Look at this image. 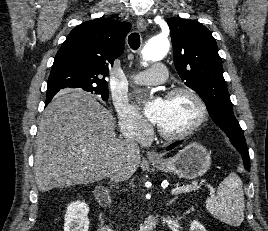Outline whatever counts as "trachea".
I'll list each match as a JSON object with an SVG mask.
<instances>
[{
  "label": "trachea",
  "instance_id": "3493384b",
  "mask_svg": "<svg viewBox=\"0 0 268 231\" xmlns=\"http://www.w3.org/2000/svg\"><path fill=\"white\" fill-rule=\"evenodd\" d=\"M128 43L133 50L140 47V35L137 32L131 33L128 37Z\"/></svg>",
  "mask_w": 268,
  "mask_h": 231
}]
</instances>
